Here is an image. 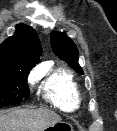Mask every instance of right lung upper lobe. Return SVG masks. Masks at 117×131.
<instances>
[{"label": "right lung upper lobe", "instance_id": "obj_1", "mask_svg": "<svg viewBox=\"0 0 117 131\" xmlns=\"http://www.w3.org/2000/svg\"><path fill=\"white\" fill-rule=\"evenodd\" d=\"M41 44L35 30L25 24H18L13 36L0 45V68L23 66L31 70L40 62Z\"/></svg>", "mask_w": 117, "mask_h": 131}]
</instances>
